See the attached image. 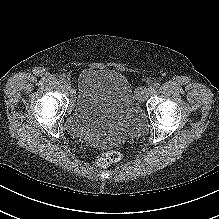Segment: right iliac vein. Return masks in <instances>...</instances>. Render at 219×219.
Wrapping results in <instances>:
<instances>
[{
    "mask_svg": "<svg viewBox=\"0 0 219 219\" xmlns=\"http://www.w3.org/2000/svg\"><path fill=\"white\" fill-rule=\"evenodd\" d=\"M65 85L70 88L71 92L73 93L72 84L70 82H65Z\"/></svg>",
    "mask_w": 219,
    "mask_h": 219,
    "instance_id": "right-iliac-vein-1",
    "label": "right iliac vein"
}]
</instances>
